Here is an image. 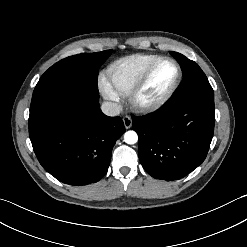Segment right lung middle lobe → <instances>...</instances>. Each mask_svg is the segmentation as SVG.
Masks as SVG:
<instances>
[{
    "instance_id": "obj_1",
    "label": "right lung middle lobe",
    "mask_w": 247,
    "mask_h": 247,
    "mask_svg": "<svg viewBox=\"0 0 247 247\" xmlns=\"http://www.w3.org/2000/svg\"><path fill=\"white\" fill-rule=\"evenodd\" d=\"M111 50L67 57L50 67L39 79L32 96L30 112L65 94L86 93L99 98V67Z\"/></svg>"
}]
</instances>
